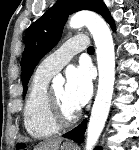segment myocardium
Here are the masks:
<instances>
[{"label": "myocardium", "instance_id": "1", "mask_svg": "<svg viewBox=\"0 0 139 150\" xmlns=\"http://www.w3.org/2000/svg\"><path fill=\"white\" fill-rule=\"evenodd\" d=\"M46 111L47 116L51 123L55 125L57 128H66L73 125L79 118V112L76 111L70 117H66L57 101L55 100L54 96L52 95L51 90L47 91L46 94Z\"/></svg>", "mask_w": 139, "mask_h": 150}]
</instances>
